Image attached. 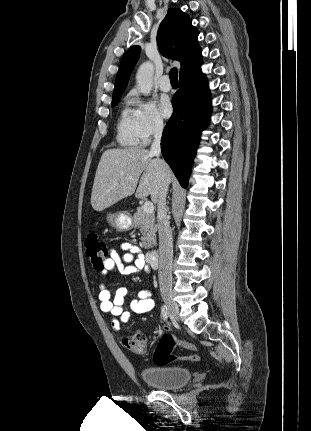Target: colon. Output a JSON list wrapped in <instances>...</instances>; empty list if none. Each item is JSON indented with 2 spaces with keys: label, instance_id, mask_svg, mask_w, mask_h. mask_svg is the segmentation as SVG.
I'll return each instance as SVG.
<instances>
[{
  "label": "colon",
  "instance_id": "1",
  "mask_svg": "<svg viewBox=\"0 0 311 431\" xmlns=\"http://www.w3.org/2000/svg\"><path fill=\"white\" fill-rule=\"evenodd\" d=\"M86 255L90 260L93 267L102 271L104 268V262L108 257L109 250L105 241L99 239L96 236L89 237L85 242ZM124 347L131 353L139 356L147 354L146 337L143 333H136L123 340ZM183 348L195 351L197 348L194 344L176 341L171 335H165L161 338L154 352V362L157 365H167L175 360H186L197 362L200 357L196 354L176 356L174 350L176 348Z\"/></svg>",
  "mask_w": 311,
  "mask_h": 431
}]
</instances>
